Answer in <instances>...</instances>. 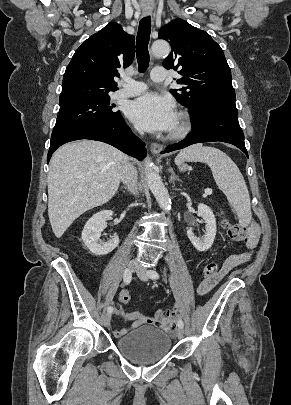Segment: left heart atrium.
Wrapping results in <instances>:
<instances>
[{
	"mask_svg": "<svg viewBox=\"0 0 291 405\" xmlns=\"http://www.w3.org/2000/svg\"><path fill=\"white\" fill-rule=\"evenodd\" d=\"M128 118L146 131H170L177 115L173 101L156 93H146L130 102Z\"/></svg>",
	"mask_w": 291,
	"mask_h": 405,
	"instance_id": "left-heart-atrium-1",
	"label": "left heart atrium"
}]
</instances>
